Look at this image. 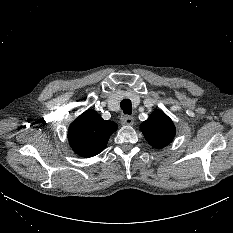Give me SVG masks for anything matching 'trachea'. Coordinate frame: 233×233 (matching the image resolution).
I'll return each instance as SVG.
<instances>
[{
    "label": "trachea",
    "mask_w": 233,
    "mask_h": 233,
    "mask_svg": "<svg viewBox=\"0 0 233 233\" xmlns=\"http://www.w3.org/2000/svg\"><path fill=\"white\" fill-rule=\"evenodd\" d=\"M121 109L124 114L130 115L132 113V103L129 99H124L121 101Z\"/></svg>",
    "instance_id": "3493384b"
}]
</instances>
